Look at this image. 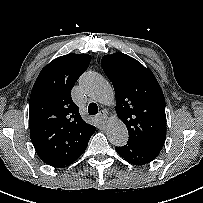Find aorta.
Returning <instances> with one entry per match:
<instances>
[{
  "label": "aorta",
  "instance_id": "obj_1",
  "mask_svg": "<svg viewBox=\"0 0 203 203\" xmlns=\"http://www.w3.org/2000/svg\"><path fill=\"white\" fill-rule=\"evenodd\" d=\"M80 87L91 99L104 106L115 104L114 90L108 81L95 72H87L80 79ZM106 135L114 146H124L128 141L126 125L118 118H113L107 125Z\"/></svg>",
  "mask_w": 203,
  "mask_h": 203
}]
</instances>
